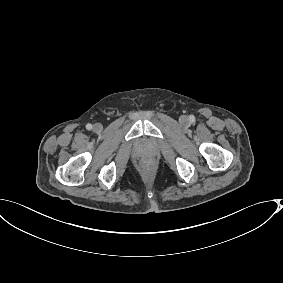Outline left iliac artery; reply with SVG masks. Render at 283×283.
<instances>
[{
  "mask_svg": "<svg viewBox=\"0 0 283 283\" xmlns=\"http://www.w3.org/2000/svg\"><path fill=\"white\" fill-rule=\"evenodd\" d=\"M190 120L194 121V116L193 115L190 116Z\"/></svg>",
  "mask_w": 283,
  "mask_h": 283,
  "instance_id": "obj_1",
  "label": "left iliac artery"
}]
</instances>
